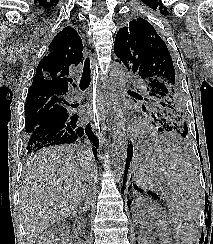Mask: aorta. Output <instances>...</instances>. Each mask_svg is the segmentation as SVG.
<instances>
[{"instance_id": "aorta-1", "label": "aorta", "mask_w": 213, "mask_h": 244, "mask_svg": "<svg viewBox=\"0 0 213 244\" xmlns=\"http://www.w3.org/2000/svg\"><path fill=\"white\" fill-rule=\"evenodd\" d=\"M110 75L114 91V127L112 144V170L116 180H121L124 176L128 139L126 134V116L123 102L126 94L125 71L122 65L113 62L110 65Z\"/></svg>"}]
</instances>
